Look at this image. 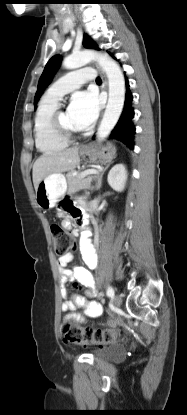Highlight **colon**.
<instances>
[{
	"instance_id": "1",
	"label": "colon",
	"mask_w": 187,
	"mask_h": 415,
	"mask_svg": "<svg viewBox=\"0 0 187 415\" xmlns=\"http://www.w3.org/2000/svg\"><path fill=\"white\" fill-rule=\"evenodd\" d=\"M51 233L54 239L56 255H66L74 247V238L60 224H52ZM63 336L66 343L81 345L87 343H110L122 338L124 334L120 328L116 330H92L66 324L63 328Z\"/></svg>"
}]
</instances>
